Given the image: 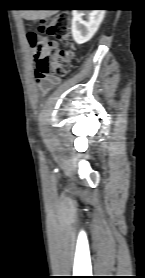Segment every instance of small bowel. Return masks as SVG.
<instances>
[{
	"label": "small bowel",
	"instance_id": "small-bowel-1",
	"mask_svg": "<svg viewBox=\"0 0 145 278\" xmlns=\"http://www.w3.org/2000/svg\"><path fill=\"white\" fill-rule=\"evenodd\" d=\"M41 41H48L45 37H39ZM56 45V42H53ZM58 82H50V78L40 79V87L42 91L49 92Z\"/></svg>",
	"mask_w": 145,
	"mask_h": 278
}]
</instances>
